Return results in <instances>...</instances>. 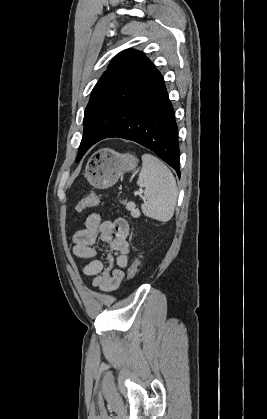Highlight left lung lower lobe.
<instances>
[{
	"label": "left lung lower lobe",
	"mask_w": 267,
	"mask_h": 419,
	"mask_svg": "<svg viewBox=\"0 0 267 419\" xmlns=\"http://www.w3.org/2000/svg\"><path fill=\"white\" fill-rule=\"evenodd\" d=\"M91 135L88 149L105 138L132 140L152 150L180 177L177 124L160 72L126 110L110 115L108 125Z\"/></svg>",
	"instance_id": "obj_1"
}]
</instances>
